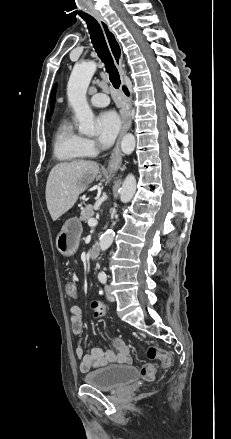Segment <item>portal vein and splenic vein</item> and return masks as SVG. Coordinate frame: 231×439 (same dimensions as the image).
I'll return each mask as SVG.
<instances>
[{
	"label": "portal vein and splenic vein",
	"instance_id": "obj_1",
	"mask_svg": "<svg viewBox=\"0 0 231 439\" xmlns=\"http://www.w3.org/2000/svg\"><path fill=\"white\" fill-rule=\"evenodd\" d=\"M98 218H99V217H96V218H90V219L88 220V225H89V226H96V225L98 224Z\"/></svg>",
	"mask_w": 231,
	"mask_h": 439
}]
</instances>
